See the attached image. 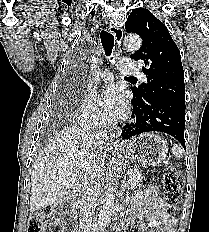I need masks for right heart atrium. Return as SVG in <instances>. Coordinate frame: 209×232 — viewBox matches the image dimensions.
I'll list each match as a JSON object with an SVG mask.
<instances>
[{
    "instance_id": "right-heart-atrium-1",
    "label": "right heart atrium",
    "mask_w": 209,
    "mask_h": 232,
    "mask_svg": "<svg viewBox=\"0 0 209 232\" xmlns=\"http://www.w3.org/2000/svg\"><path fill=\"white\" fill-rule=\"evenodd\" d=\"M76 123L87 130L103 127L106 119L97 107L95 101L86 96L82 99L75 113Z\"/></svg>"
}]
</instances>
